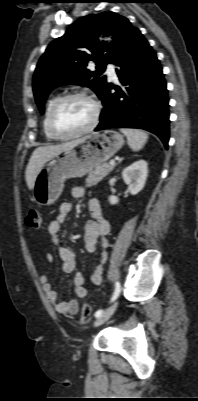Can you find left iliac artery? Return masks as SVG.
Returning <instances> with one entry per match:
<instances>
[{"label": "left iliac artery", "mask_w": 198, "mask_h": 401, "mask_svg": "<svg viewBox=\"0 0 198 401\" xmlns=\"http://www.w3.org/2000/svg\"><path fill=\"white\" fill-rule=\"evenodd\" d=\"M120 290H121L120 283H119L118 281H116V282H115V290H114L113 296H112V298H111V302H113V301H115V300L117 299V297H118L119 294H120ZM103 312H104L103 309L97 310V311L95 312L94 316H95L96 318H98L99 316L102 315Z\"/></svg>", "instance_id": "44dca946"}]
</instances>
